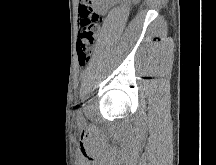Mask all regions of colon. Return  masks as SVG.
I'll return each mask as SVG.
<instances>
[{
    "label": "colon",
    "instance_id": "1",
    "mask_svg": "<svg viewBox=\"0 0 216 165\" xmlns=\"http://www.w3.org/2000/svg\"><path fill=\"white\" fill-rule=\"evenodd\" d=\"M101 22V17L94 10H82L77 42V54L80 65H85L91 58Z\"/></svg>",
    "mask_w": 216,
    "mask_h": 165
}]
</instances>
